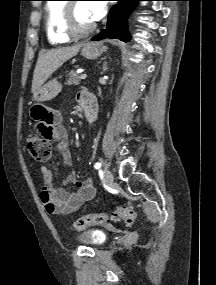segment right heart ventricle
Returning a JSON list of instances; mask_svg holds the SVG:
<instances>
[{"mask_svg":"<svg viewBox=\"0 0 216 285\" xmlns=\"http://www.w3.org/2000/svg\"><path fill=\"white\" fill-rule=\"evenodd\" d=\"M64 7L65 3L61 0H51L45 6V31L52 45H62L70 41L62 26Z\"/></svg>","mask_w":216,"mask_h":285,"instance_id":"obj_1","label":"right heart ventricle"}]
</instances>
